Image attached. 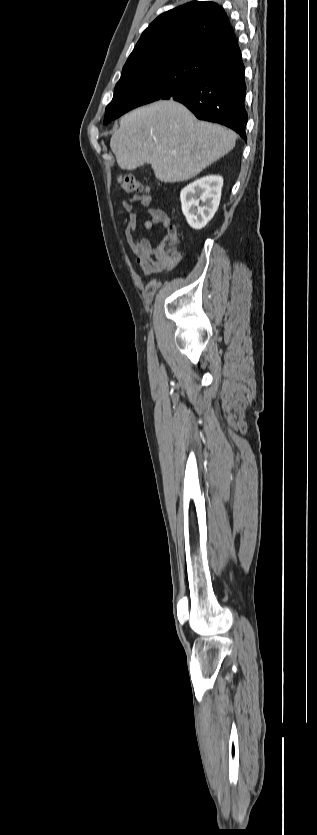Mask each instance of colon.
<instances>
[{"label": "colon", "instance_id": "5ec220e1", "mask_svg": "<svg viewBox=\"0 0 317 835\" xmlns=\"http://www.w3.org/2000/svg\"><path fill=\"white\" fill-rule=\"evenodd\" d=\"M118 183L120 189L128 194H142L147 190L146 186L132 174L120 176ZM178 244L177 232L173 226H169L167 235L160 243L159 250L165 257L176 259L178 257Z\"/></svg>", "mask_w": 317, "mask_h": 835}]
</instances>
